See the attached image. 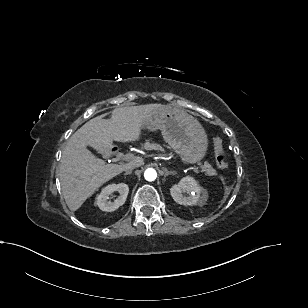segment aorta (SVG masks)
Returning a JSON list of instances; mask_svg holds the SVG:
<instances>
[{"mask_svg": "<svg viewBox=\"0 0 308 308\" xmlns=\"http://www.w3.org/2000/svg\"><path fill=\"white\" fill-rule=\"evenodd\" d=\"M147 181H154L157 178V172L153 168H148L144 172Z\"/></svg>", "mask_w": 308, "mask_h": 308, "instance_id": "aorta-1", "label": "aorta"}]
</instances>
